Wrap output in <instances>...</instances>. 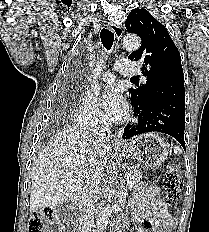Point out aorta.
I'll return each mask as SVG.
<instances>
[{
  "label": "aorta",
  "mask_w": 209,
  "mask_h": 232,
  "mask_svg": "<svg viewBox=\"0 0 209 232\" xmlns=\"http://www.w3.org/2000/svg\"><path fill=\"white\" fill-rule=\"evenodd\" d=\"M141 46V39L137 35L127 34L123 37L122 47L127 48L130 50H137ZM104 67V60L100 59L94 67V74H93V89L95 91L100 90V86L96 83V79L100 72ZM112 196L110 194L107 195V201L109 203L112 202ZM112 214V210L110 208V204L104 207L98 215L97 222H96V232H104L110 222V217Z\"/></svg>",
  "instance_id": "obj_1"
}]
</instances>
